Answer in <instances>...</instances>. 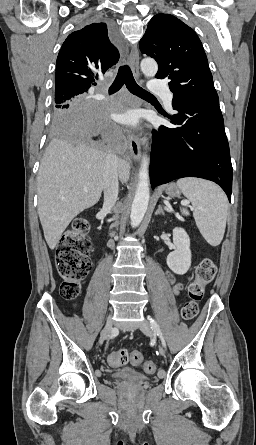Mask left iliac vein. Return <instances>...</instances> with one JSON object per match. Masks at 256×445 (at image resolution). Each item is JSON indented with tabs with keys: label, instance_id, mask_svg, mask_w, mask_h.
Here are the masks:
<instances>
[{
	"label": "left iliac vein",
	"instance_id": "obj_1",
	"mask_svg": "<svg viewBox=\"0 0 256 445\" xmlns=\"http://www.w3.org/2000/svg\"><path fill=\"white\" fill-rule=\"evenodd\" d=\"M140 330L146 335H151L153 332L152 326L147 321L142 322ZM159 352L162 356L166 355V351L162 346L159 347Z\"/></svg>",
	"mask_w": 256,
	"mask_h": 445
}]
</instances>
